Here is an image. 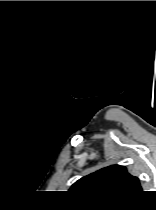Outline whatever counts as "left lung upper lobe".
Instances as JSON below:
<instances>
[{
	"mask_svg": "<svg viewBox=\"0 0 156 210\" xmlns=\"http://www.w3.org/2000/svg\"><path fill=\"white\" fill-rule=\"evenodd\" d=\"M71 190L127 196L141 193L142 187L139 179L129 174L124 166L112 165L79 179Z\"/></svg>",
	"mask_w": 156,
	"mask_h": 210,
	"instance_id": "1",
	"label": "left lung upper lobe"
}]
</instances>
